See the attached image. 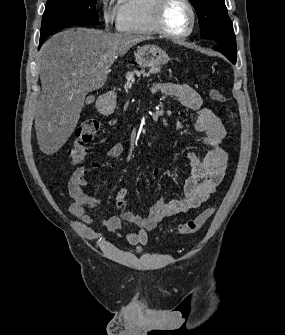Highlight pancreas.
I'll return each mask as SVG.
<instances>
[{
  "mask_svg": "<svg viewBox=\"0 0 285 335\" xmlns=\"http://www.w3.org/2000/svg\"><path fill=\"white\" fill-rule=\"evenodd\" d=\"M145 70L137 71L135 70V73L128 74L126 76L125 84L123 85V88L125 90H128L129 88H134V85H132V82H137V79H133V76L136 78H142L143 76H149V74H157V72H160V66H157V68H150L148 74H144Z\"/></svg>",
  "mask_w": 285,
  "mask_h": 335,
  "instance_id": "cf45deb5",
  "label": "pancreas"
}]
</instances>
